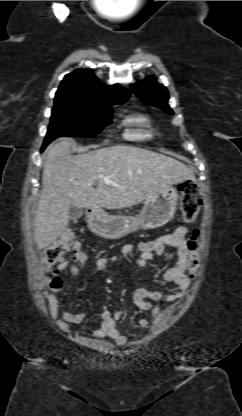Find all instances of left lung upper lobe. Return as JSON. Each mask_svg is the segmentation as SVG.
Instances as JSON below:
<instances>
[{"mask_svg":"<svg viewBox=\"0 0 242 416\" xmlns=\"http://www.w3.org/2000/svg\"><path fill=\"white\" fill-rule=\"evenodd\" d=\"M131 88L144 102L159 107L166 113H173L167 104L169 97L167 89L153 78H147L143 82L132 85Z\"/></svg>","mask_w":242,"mask_h":416,"instance_id":"obj_1","label":"left lung upper lobe"}]
</instances>
